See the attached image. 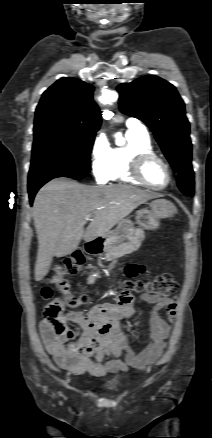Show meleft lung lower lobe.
<instances>
[{"instance_id": "0a47b994", "label": "left lung lower lobe", "mask_w": 212, "mask_h": 438, "mask_svg": "<svg viewBox=\"0 0 212 438\" xmlns=\"http://www.w3.org/2000/svg\"><path fill=\"white\" fill-rule=\"evenodd\" d=\"M177 183L180 190L188 196L194 193V172L191 162L182 165L178 172Z\"/></svg>"}]
</instances>
